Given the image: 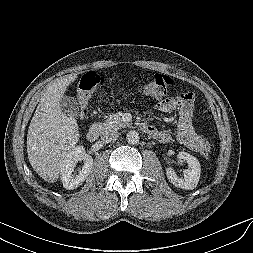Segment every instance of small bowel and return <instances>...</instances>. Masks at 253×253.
<instances>
[{
  "label": "small bowel",
  "instance_id": "1",
  "mask_svg": "<svg viewBox=\"0 0 253 253\" xmlns=\"http://www.w3.org/2000/svg\"><path fill=\"white\" fill-rule=\"evenodd\" d=\"M193 103L194 101L168 97L158 102L156 108L163 113L177 112L179 115V121L175 130L177 139L188 149L199 151L202 138L195 132L193 127ZM145 126H148L149 130L147 133L154 139L161 143L170 141L171 134L169 131H158L149 124Z\"/></svg>",
  "mask_w": 253,
  "mask_h": 253
}]
</instances>
